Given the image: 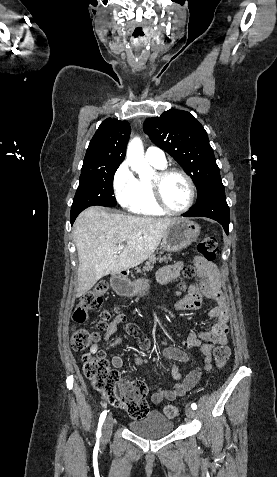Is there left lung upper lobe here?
<instances>
[{
	"mask_svg": "<svg viewBox=\"0 0 277 477\" xmlns=\"http://www.w3.org/2000/svg\"><path fill=\"white\" fill-rule=\"evenodd\" d=\"M143 127L152 142L169 153L192 178L197 202L221 181L207 133L191 113L171 109L160 117L146 119Z\"/></svg>",
	"mask_w": 277,
	"mask_h": 477,
	"instance_id": "5c2ea615",
	"label": "left lung upper lobe"
}]
</instances>
